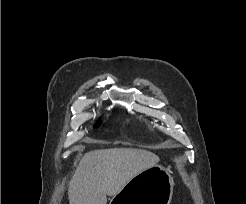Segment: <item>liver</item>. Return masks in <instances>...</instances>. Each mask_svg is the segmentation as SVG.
<instances>
[{
  "instance_id": "obj_1",
  "label": "liver",
  "mask_w": 246,
  "mask_h": 204,
  "mask_svg": "<svg viewBox=\"0 0 246 204\" xmlns=\"http://www.w3.org/2000/svg\"><path fill=\"white\" fill-rule=\"evenodd\" d=\"M159 157L146 150L109 148L82 157L68 188L69 204H106L136 175L155 166Z\"/></svg>"
}]
</instances>
